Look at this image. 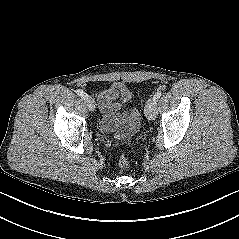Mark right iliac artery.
Returning a JSON list of instances; mask_svg holds the SVG:
<instances>
[{
	"label": "right iliac artery",
	"instance_id": "right-iliac-artery-1",
	"mask_svg": "<svg viewBox=\"0 0 239 239\" xmlns=\"http://www.w3.org/2000/svg\"><path fill=\"white\" fill-rule=\"evenodd\" d=\"M76 93H77L78 96H81V97H83L84 94H85V92L83 90H81V89H77Z\"/></svg>",
	"mask_w": 239,
	"mask_h": 239
}]
</instances>
